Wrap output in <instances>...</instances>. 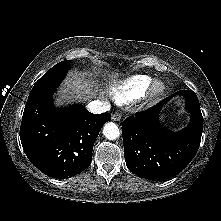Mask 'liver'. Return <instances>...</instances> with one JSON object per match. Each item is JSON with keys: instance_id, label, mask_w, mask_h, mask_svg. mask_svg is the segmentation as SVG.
Instances as JSON below:
<instances>
[{"instance_id": "liver-1", "label": "liver", "mask_w": 221, "mask_h": 221, "mask_svg": "<svg viewBox=\"0 0 221 221\" xmlns=\"http://www.w3.org/2000/svg\"><path fill=\"white\" fill-rule=\"evenodd\" d=\"M98 94V88L93 82L86 79L84 73L75 71L69 73V77L63 83L62 88L58 91L57 105L65 101L78 99L87 101Z\"/></svg>"}]
</instances>
